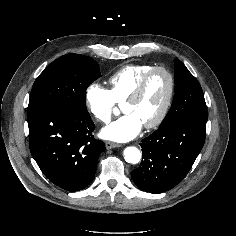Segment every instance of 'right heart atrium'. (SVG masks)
I'll use <instances>...</instances> for the list:
<instances>
[{
  "mask_svg": "<svg viewBox=\"0 0 236 236\" xmlns=\"http://www.w3.org/2000/svg\"><path fill=\"white\" fill-rule=\"evenodd\" d=\"M85 102L91 116L101 123H108L116 105L111 92L99 83H92L85 92Z\"/></svg>",
  "mask_w": 236,
  "mask_h": 236,
  "instance_id": "d8ad5b80",
  "label": "right heart atrium"
}]
</instances>
